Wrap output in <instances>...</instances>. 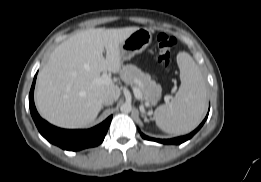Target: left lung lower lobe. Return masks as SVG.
<instances>
[{"label":"left lung lower lobe","mask_w":261,"mask_h":182,"mask_svg":"<svg viewBox=\"0 0 261 182\" xmlns=\"http://www.w3.org/2000/svg\"><path fill=\"white\" fill-rule=\"evenodd\" d=\"M207 117H208V114H207L206 118L203 120V122L193 132H191L190 134L185 135V136H181V137H177V138H173V139H155V138H150V137L144 135L143 133H141V136L144 139L156 141V142L163 143V144H181V143L187 141L188 139H190L203 126Z\"/></svg>","instance_id":"obj_1"}]
</instances>
